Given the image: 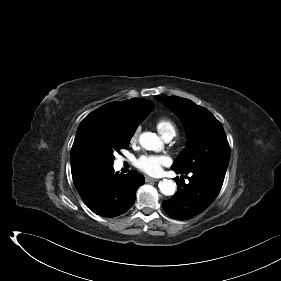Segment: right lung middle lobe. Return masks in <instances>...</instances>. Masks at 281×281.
Masks as SVG:
<instances>
[{
	"label": "right lung middle lobe",
	"instance_id": "right-lung-middle-lobe-1",
	"mask_svg": "<svg viewBox=\"0 0 281 281\" xmlns=\"http://www.w3.org/2000/svg\"><path fill=\"white\" fill-rule=\"evenodd\" d=\"M133 135H127L123 137H116L109 141L108 145L106 146L103 154H102V162L104 168L112 167L115 151L119 152L120 149L124 148L127 149L129 146L130 139Z\"/></svg>",
	"mask_w": 281,
	"mask_h": 281
}]
</instances>
